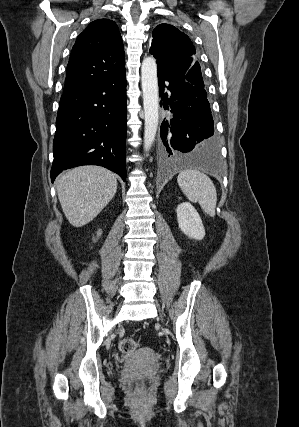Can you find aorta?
Returning a JSON list of instances; mask_svg holds the SVG:
<instances>
[{
  "label": "aorta",
  "mask_w": 299,
  "mask_h": 427,
  "mask_svg": "<svg viewBox=\"0 0 299 427\" xmlns=\"http://www.w3.org/2000/svg\"><path fill=\"white\" fill-rule=\"evenodd\" d=\"M141 83L145 114L144 150L148 152L155 141L159 122L157 64L153 57H147L142 62Z\"/></svg>",
  "instance_id": "obj_1"
}]
</instances>
